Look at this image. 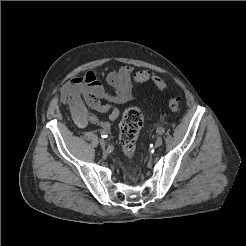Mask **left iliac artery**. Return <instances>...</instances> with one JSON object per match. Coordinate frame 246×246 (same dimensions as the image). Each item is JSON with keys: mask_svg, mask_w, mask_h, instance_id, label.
Returning <instances> with one entry per match:
<instances>
[{"mask_svg": "<svg viewBox=\"0 0 246 246\" xmlns=\"http://www.w3.org/2000/svg\"><path fill=\"white\" fill-rule=\"evenodd\" d=\"M156 132L161 135L165 132V129L163 127H158Z\"/></svg>", "mask_w": 246, "mask_h": 246, "instance_id": "44dca946", "label": "left iliac artery"}]
</instances>
